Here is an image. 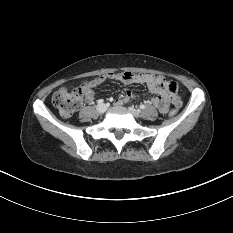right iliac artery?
<instances>
[{
    "instance_id": "obj_1",
    "label": "right iliac artery",
    "mask_w": 233,
    "mask_h": 233,
    "mask_svg": "<svg viewBox=\"0 0 233 233\" xmlns=\"http://www.w3.org/2000/svg\"><path fill=\"white\" fill-rule=\"evenodd\" d=\"M103 102H104L103 99H100V100L97 101L98 104H102Z\"/></svg>"
}]
</instances>
